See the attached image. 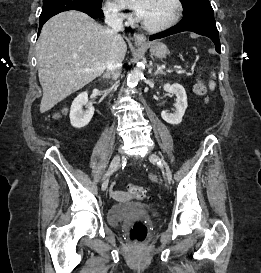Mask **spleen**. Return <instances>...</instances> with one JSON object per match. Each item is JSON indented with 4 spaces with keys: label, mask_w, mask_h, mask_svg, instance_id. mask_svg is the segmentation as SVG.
I'll use <instances>...</instances> for the list:
<instances>
[{
    "label": "spleen",
    "mask_w": 261,
    "mask_h": 273,
    "mask_svg": "<svg viewBox=\"0 0 261 273\" xmlns=\"http://www.w3.org/2000/svg\"><path fill=\"white\" fill-rule=\"evenodd\" d=\"M211 77L215 78V73L214 72L211 73ZM215 86H216V83L213 80H210L209 81V88H210V90H214Z\"/></svg>",
    "instance_id": "obj_1"
}]
</instances>
